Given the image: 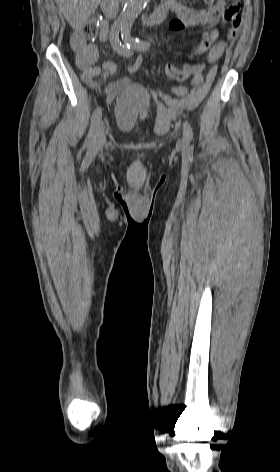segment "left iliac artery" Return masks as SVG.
Instances as JSON below:
<instances>
[{"label": "left iliac artery", "mask_w": 280, "mask_h": 472, "mask_svg": "<svg viewBox=\"0 0 280 472\" xmlns=\"http://www.w3.org/2000/svg\"><path fill=\"white\" fill-rule=\"evenodd\" d=\"M130 32L131 26L129 25H126L121 29L122 40L129 48L136 50H146L149 47L148 42L139 40L138 38H132ZM183 137L186 141H190L193 138L192 128L187 121L183 124Z\"/></svg>", "instance_id": "obj_1"}]
</instances>
